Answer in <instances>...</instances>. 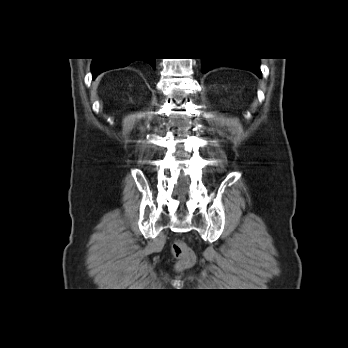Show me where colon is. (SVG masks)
<instances>
[{"label": "colon", "mask_w": 348, "mask_h": 348, "mask_svg": "<svg viewBox=\"0 0 348 348\" xmlns=\"http://www.w3.org/2000/svg\"><path fill=\"white\" fill-rule=\"evenodd\" d=\"M172 255L177 259V269L183 270L193 265L195 256L182 241H174L171 246Z\"/></svg>", "instance_id": "5ec220e1"}]
</instances>
